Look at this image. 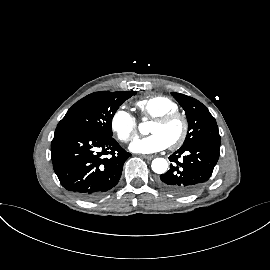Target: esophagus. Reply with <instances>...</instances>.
I'll return each instance as SVG.
<instances>
[{
    "instance_id": "1",
    "label": "esophagus",
    "mask_w": 270,
    "mask_h": 270,
    "mask_svg": "<svg viewBox=\"0 0 270 270\" xmlns=\"http://www.w3.org/2000/svg\"><path fill=\"white\" fill-rule=\"evenodd\" d=\"M143 158L151 160L153 159L155 156L154 155H142Z\"/></svg>"
}]
</instances>
